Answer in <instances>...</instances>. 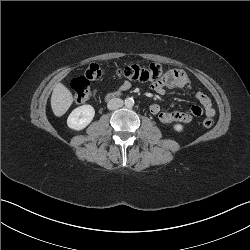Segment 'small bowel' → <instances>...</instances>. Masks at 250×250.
I'll return each instance as SVG.
<instances>
[{"mask_svg":"<svg viewBox=\"0 0 250 250\" xmlns=\"http://www.w3.org/2000/svg\"><path fill=\"white\" fill-rule=\"evenodd\" d=\"M130 83L125 81L121 85V89H128ZM148 88L153 89L157 94L164 95L167 89H184L194 93L195 98L200 106L193 105L189 112L182 111H162L158 104L150 106V112L155 115L163 124L169 123H190L194 117L206 115L213 117L215 109L211 99L202 91L195 90L185 71L181 69H168L163 80L159 82H149Z\"/></svg>","mask_w":250,"mask_h":250,"instance_id":"small-bowel-1","label":"small bowel"}]
</instances>
